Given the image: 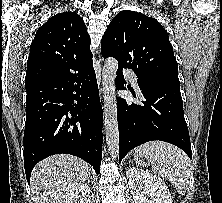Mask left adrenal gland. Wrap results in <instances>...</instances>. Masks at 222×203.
<instances>
[{"label": "left adrenal gland", "mask_w": 222, "mask_h": 203, "mask_svg": "<svg viewBox=\"0 0 222 203\" xmlns=\"http://www.w3.org/2000/svg\"><path fill=\"white\" fill-rule=\"evenodd\" d=\"M129 163H132V160H129Z\"/></svg>", "instance_id": "1"}]
</instances>
